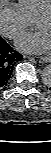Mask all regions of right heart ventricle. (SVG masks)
<instances>
[{
  "label": "right heart ventricle",
  "mask_w": 51,
  "mask_h": 153,
  "mask_svg": "<svg viewBox=\"0 0 51 153\" xmlns=\"http://www.w3.org/2000/svg\"><path fill=\"white\" fill-rule=\"evenodd\" d=\"M30 21L51 5V0H18L17 4Z\"/></svg>",
  "instance_id": "e07e8e85"
}]
</instances>
